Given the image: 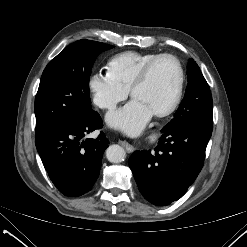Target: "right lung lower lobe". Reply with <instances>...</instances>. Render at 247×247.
Here are the masks:
<instances>
[{
	"label": "right lung lower lobe",
	"mask_w": 247,
	"mask_h": 247,
	"mask_svg": "<svg viewBox=\"0 0 247 247\" xmlns=\"http://www.w3.org/2000/svg\"><path fill=\"white\" fill-rule=\"evenodd\" d=\"M102 126L101 117L94 112L85 120L36 136L35 144L43 165L65 196L83 195L95 184L109 141L103 132L96 139L83 137Z\"/></svg>",
	"instance_id": "obj_1"
}]
</instances>
